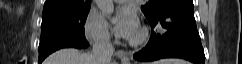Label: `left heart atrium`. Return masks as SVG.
<instances>
[{"instance_id":"obj_1","label":"left heart atrium","mask_w":242,"mask_h":64,"mask_svg":"<svg viewBox=\"0 0 242 64\" xmlns=\"http://www.w3.org/2000/svg\"><path fill=\"white\" fill-rule=\"evenodd\" d=\"M138 26L136 13L131 9H126L118 15L115 33L119 37L131 39L137 35Z\"/></svg>"}]
</instances>
